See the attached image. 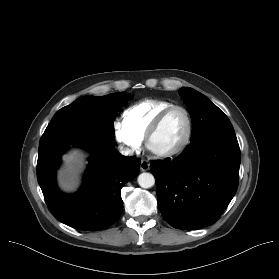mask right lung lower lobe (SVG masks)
<instances>
[{
    "label": "right lung lower lobe",
    "mask_w": 279,
    "mask_h": 279,
    "mask_svg": "<svg viewBox=\"0 0 279 279\" xmlns=\"http://www.w3.org/2000/svg\"><path fill=\"white\" fill-rule=\"evenodd\" d=\"M70 145L92 154L81 189L73 195L56 186L55 172L62 153ZM111 140L84 125H68L44 132L39 143L37 179L53 216L73 228L103 230L114 224L123 211L121 188L134 179L140 159L124 157Z\"/></svg>",
    "instance_id": "right-lung-lower-lobe-1"
}]
</instances>
